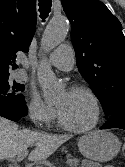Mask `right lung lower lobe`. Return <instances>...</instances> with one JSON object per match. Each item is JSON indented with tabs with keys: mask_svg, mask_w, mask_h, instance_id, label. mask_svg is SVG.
Wrapping results in <instances>:
<instances>
[{
	"mask_svg": "<svg viewBox=\"0 0 125 167\" xmlns=\"http://www.w3.org/2000/svg\"><path fill=\"white\" fill-rule=\"evenodd\" d=\"M28 113L25 101L20 103L10 102L5 99H0V116L12 121H18Z\"/></svg>",
	"mask_w": 125,
	"mask_h": 167,
	"instance_id": "obj_1",
	"label": "right lung lower lobe"
}]
</instances>
